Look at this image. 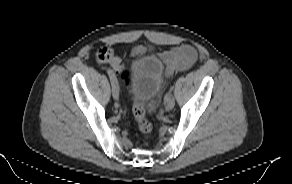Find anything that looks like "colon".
<instances>
[{"instance_id": "colon-1", "label": "colon", "mask_w": 292, "mask_h": 184, "mask_svg": "<svg viewBox=\"0 0 292 184\" xmlns=\"http://www.w3.org/2000/svg\"><path fill=\"white\" fill-rule=\"evenodd\" d=\"M95 56H96L97 61L100 63H110L115 57L113 50L109 47L99 48ZM126 77H127V71L122 73V78L126 80ZM133 114H134L139 131L143 135L150 134L152 131V124L145 115V110H144L143 105L135 99L133 102Z\"/></svg>"}]
</instances>
